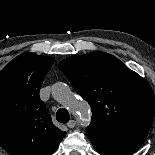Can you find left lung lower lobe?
Returning a JSON list of instances; mask_svg holds the SVG:
<instances>
[{
  "label": "left lung lower lobe",
  "instance_id": "1",
  "mask_svg": "<svg viewBox=\"0 0 155 155\" xmlns=\"http://www.w3.org/2000/svg\"><path fill=\"white\" fill-rule=\"evenodd\" d=\"M148 134V130L121 132L107 136L86 134L101 155H131L136 152Z\"/></svg>",
  "mask_w": 155,
  "mask_h": 155
}]
</instances>
